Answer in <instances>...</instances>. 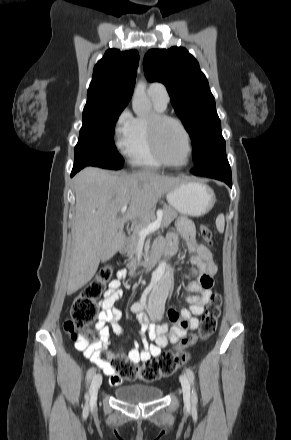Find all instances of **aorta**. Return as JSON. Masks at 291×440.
<instances>
[{"mask_svg": "<svg viewBox=\"0 0 291 440\" xmlns=\"http://www.w3.org/2000/svg\"><path fill=\"white\" fill-rule=\"evenodd\" d=\"M133 111L137 115H146L151 110L150 101L146 95V85L140 81L134 91ZM171 287V276L169 273H164L156 277L151 284V292L149 295V303L152 305L156 302H164Z\"/></svg>", "mask_w": 291, "mask_h": 440, "instance_id": "1", "label": "aorta"}]
</instances>
